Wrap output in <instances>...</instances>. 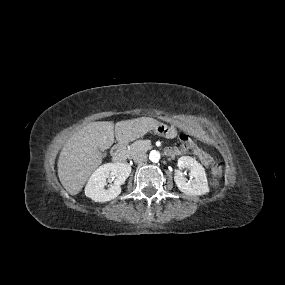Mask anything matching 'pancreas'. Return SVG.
<instances>
[{"mask_svg": "<svg viewBox=\"0 0 285 285\" xmlns=\"http://www.w3.org/2000/svg\"><path fill=\"white\" fill-rule=\"evenodd\" d=\"M150 149V145L146 144L144 140H138L132 143L128 148L130 157H134L139 152H145Z\"/></svg>", "mask_w": 285, "mask_h": 285, "instance_id": "pancreas-1", "label": "pancreas"}]
</instances>
